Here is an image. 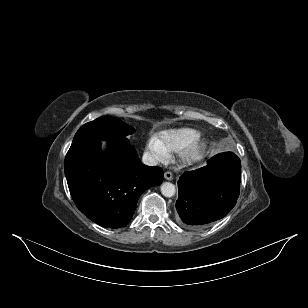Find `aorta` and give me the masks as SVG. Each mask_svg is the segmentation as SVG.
I'll return each instance as SVG.
<instances>
[{
  "label": "aorta",
  "mask_w": 308,
  "mask_h": 308,
  "mask_svg": "<svg viewBox=\"0 0 308 308\" xmlns=\"http://www.w3.org/2000/svg\"><path fill=\"white\" fill-rule=\"evenodd\" d=\"M175 186L170 182H164L161 185V193L165 197H172L175 195Z\"/></svg>",
  "instance_id": "762f6f07"
}]
</instances>
